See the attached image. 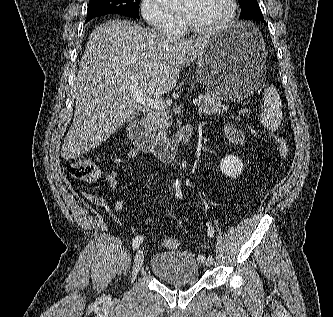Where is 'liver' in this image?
<instances>
[{"label": "liver", "instance_id": "1", "mask_svg": "<svg viewBox=\"0 0 333 317\" xmlns=\"http://www.w3.org/2000/svg\"><path fill=\"white\" fill-rule=\"evenodd\" d=\"M207 39L183 40L125 20L97 26L74 82L75 113L62 157L74 159L94 149L146 109L128 96L130 86L148 97L169 93L179 68L198 58Z\"/></svg>", "mask_w": 333, "mask_h": 317}]
</instances>
